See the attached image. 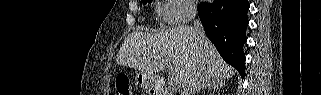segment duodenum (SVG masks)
Returning a JSON list of instances; mask_svg holds the SVG:
<instances>
[{
	"instance_id": "1",
	"label": "duodenum",
	"mask_w": 321,
	"mask_h": 95,
	"mask_svg": "<svg viewBox=\"0 0 321 95\" xmlns=\"http://www.w3.org/2000/svg\"><path fill=\"white\" fill-rule=\"evenodd\" d=\"M151 82V84H154V81L153 80H149ZM157 94H161V93H157Z\"/></svg>"
}]
</instances>
